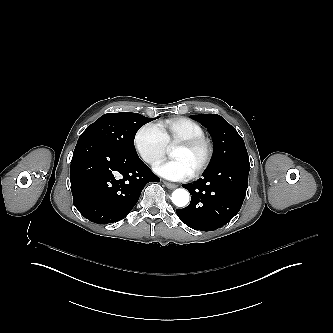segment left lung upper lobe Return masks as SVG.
<instances>
[{
    "mask_svg": "<svg viewBox=\"0 0 333 333\" xmlns=\"http://www.w3.org/2000/svg\"><path fill=\"white\" fill-rule=\"evenodd\" d=\"M190 117L206 127L213 138L215 155L209 169L217 167L230 158L248 156L243 138L220 115L203 114Z\"/></svg>",
    "mask_w": 333,
    "mask_h": 333,
    "instance_id": "obj_1",
    "label": "left lung upper lobe"
}]
</instances>
